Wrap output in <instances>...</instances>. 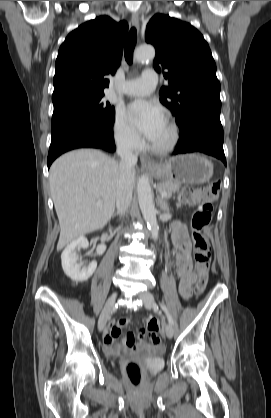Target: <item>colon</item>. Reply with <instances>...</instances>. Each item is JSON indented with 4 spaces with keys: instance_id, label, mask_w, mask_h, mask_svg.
<instances>
[{
    "instance_id": "1",
    "label": "colon",
    "mask_w": 271,
    "mask_h": 418,
    "mask_svg": "<svg viewBox=\"0 0 271 418\" xmlns=\"http://www.w3.org/2000/svg\"><path fill=\"white\" fill-rule=\"evenodd\" d=\"M219 189L220 183L212 182L202 188H184L179 194V202L182 205L198 204L191 221L195 251V293L197 295L204 291L208 281L211 251L205 230L211 222L213 203L217 199ZM146 322L150 340L155 344L160 343V338L156 334L158 331L157 321L155 319H147ZM127 373L133 385L138 386L141 383L142 374L138 364L134 362L129 363Z\"/></svg>"
}]
</instances>
